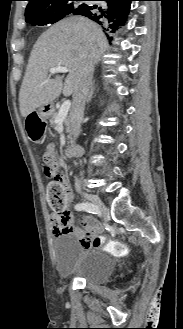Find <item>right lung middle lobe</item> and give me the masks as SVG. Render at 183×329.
Here are the masks:
<instances>
[{"label":"right lung middle lobe","mask_w":183,"mask_h":329,"mask_svg":"<svg viewBox=\"0 0 183 329\" xmlns=\"http://www.w3.org/2000/svg\"><path fill=\"white\" fill-rule=\"evenodd\" d=\"M74 1H80V0H67L64 1L60 4H57L53 6L51 10V14L47 16L46 18L37 20V19H32L30 21H26L31 23L32 25H46L48 23H55L59 21L60 19L64 18L66 15L73 13L74 10L77 8L74 6ZM82 5H80L78 8H80Z\"/></svg>","instance_id":"obj_1"}]
</instances>
